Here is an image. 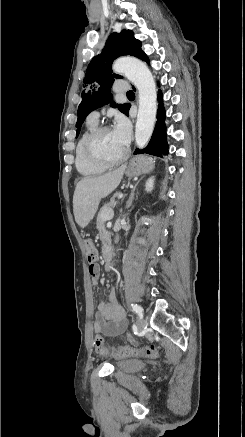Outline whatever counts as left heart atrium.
<instances>
[{
  "label": "left heart atrium",
  "mask_w": 245,
  "mask_h": 437,
  "mask_svg": "<svg viewBox=\"0 0 245 437\" xmlns=\"http://www.w3.org/2000/svg\"><path fill=\"white\" fill-rule=\"evenodd\" d=\"M113 132L119 142L127 148L130 141V125L124 117L118 116L116 118Z\"/></svg>",
  "instance_id": "39dd6f15"
}]
</instances>
